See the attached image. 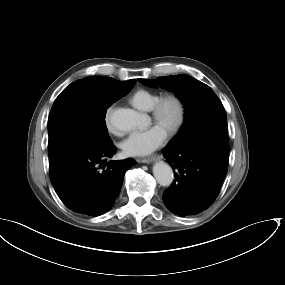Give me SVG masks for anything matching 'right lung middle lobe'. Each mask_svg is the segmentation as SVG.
Returning <instances> with one entry per match:
<instances>
[{"mask_svg":"<svg viewBox=\"0 0 285 285\" xmlns=\"http://www.w3.org/2000/svg\"><path fill=\"white\" fill-rule=\"evenodd\" d=\"M133 86L109 77L92 76L66 87L49 114L50 161L73 148L110 143L106 110L128 94Z\"/></svg>","mask_w":285,"mask_h":285,"instance_id":"1","label":"right lung middle lobe"}]
</instances>
